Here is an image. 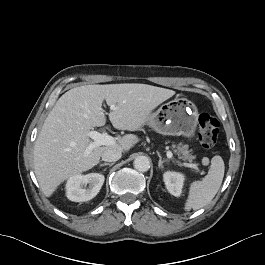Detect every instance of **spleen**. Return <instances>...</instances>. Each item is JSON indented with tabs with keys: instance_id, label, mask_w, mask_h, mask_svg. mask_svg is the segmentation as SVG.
Returning <instances> with one entry per match:
<instances>
[{
	"instance_id": "3e777b00",
	"label": "spleen",
	"mask_w": 265,
	"mask_h": 265,
	"mask_svg": "<svg viewBox=\"0 0 265 265\" xmlns=\"http://www.w3.org/2000/svg\"><path fill=\"white\" fill-rule=\"evenodd\" d=\"M224 171L225 166L222 157L214 156L205 178L202 181L191 183L184 209L186 211L198 210L209 204L221 186Z\"/></svg>"
}]
</instances>
